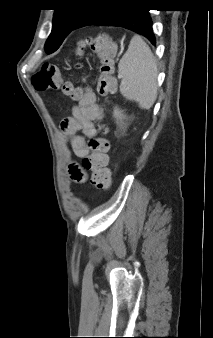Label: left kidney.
Masks as SVG:
<instances>
[{
    "mask_svg": "<svg viewBox=\"0 0 213 338\" xmlns=\"http://www.w3.org/2000/svg\"><path fill=\"white\" fill-rule=\"evenodd\" d=\"M114 117L122 119L125 118V116L122 114V111H119V109L115 108L114 110Z\"/></svg>",
    "mask_w": 213,
    "mask_h": 338,
    "instance_id": "left-kidney-1",
    "label": "left kidney"
}]
</instances>
